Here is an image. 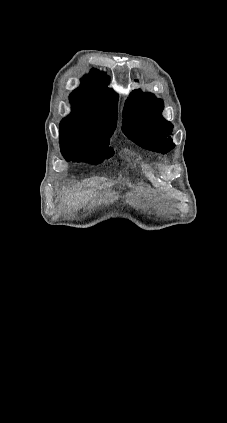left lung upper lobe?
<instances>
[{
    "label": "left lung upper lobe",
    "mask_w": 227,
    "mask_h": 423,
    "mask_svg": "<svg viewBox=\"0 0 227 423\" xmlns=\"http://www.w3.org/2000/svg\"><path fill=\"white\" fill-rule=\"evenodd\" d=\"M162 110L161 99L134 90L125 102L122 131L143 148L167 153L175 146L169 137L173 126L162 117Z\"/></svg>",
    "instance_id": "obj_1"
}]
</instances>
